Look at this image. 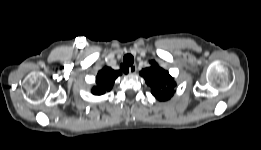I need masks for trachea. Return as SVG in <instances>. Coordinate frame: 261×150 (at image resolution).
<instances>
[{"label":"trachea","mask_w":261,"mask_h":150,"mask_svg":"<svg viewBox=\"0 0 261 150\" xmlns=\"http://www.w3.org/2000/svg\"><path fill=\"white\" fill-rule=\"evenodd\" d=\"M123 62L126 66H131L134 63V58L132 55L127 54L123 57ZM121 68L124 69L125 66H122Z\"/></svg>","instance_id":"trachea-1"}]
</instances>
